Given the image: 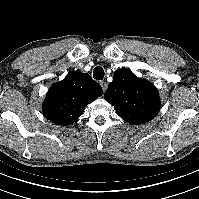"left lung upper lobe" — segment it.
<instances>
[{"label":"left lung upper lobe","mask_w":199,"mask_h":199,"mask_svg":"<svg viewBox=\"0 0 199 199\" xmlns=\"http://www.w3.org/2000/svg\"><path fill=\"white\" fill-rule=\"evenodd\" d=\"M117 114L134 125L152 120L160 109L157 89L149 81L136 77L126 68L118 69L104 94Z\"/></svg>","instance_id":"obj_1"}]
</instances>
